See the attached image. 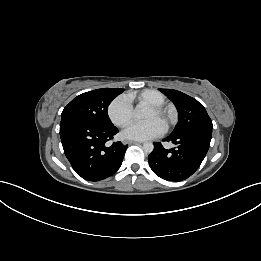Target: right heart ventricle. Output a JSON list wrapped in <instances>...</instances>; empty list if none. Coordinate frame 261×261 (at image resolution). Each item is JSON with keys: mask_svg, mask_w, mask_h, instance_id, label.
I'll return each mask as SVG.
<instances>
[{"mask_svg": "<svg viewBox=\"0 0 261 261\" xmlns=\"http://www.w3.org/2000/svg\"><path fill=\"white\" fill-rule=\"evenodd\" d=\"M128 99L130 101L146 103L148 105H163L166 100L161 92L153 89H146L138 93H130Z\"/></svg>", "mask_w": 261, "mask_h": 261, "instance_id": "e07e8e85", "label": "right heart ventricle"}]
</instances>
